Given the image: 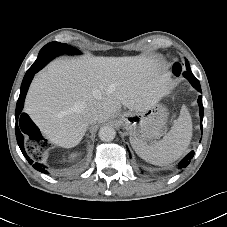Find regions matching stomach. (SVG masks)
Returning <instances> with one entry per match:
<instances>
[{"instance_id":"0dacf381","label":"stomach","mask_w":227,"mask_h":227,"mask_svg":"<svg viewBox=\"0 0 227 227\" xmlns=\"http://www.w3.org/2000/svg\"><path fill=\"white\" fill-rule=\"evenodd\" d=\"M168 114L165 106L156 104L143 112H125L121 121L130 138L146 142L156 139L163 134Z\"/></svg>"}]
</instances>
